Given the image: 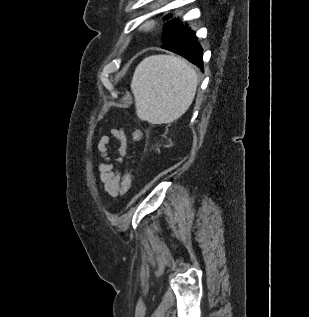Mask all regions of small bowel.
Masks as SVG:
<instances>
[{"label":"small bowel","mask_w":309,"mask_h":317,"mask_svg":"<svg viewBox=\"0 0 309 317\" xmlns=\"http://www.w3.org/2000/svg\"><path fill=\"white\" fill-rule=\"evenodd\" d=\"M110 133L116 140V157L113 159L108 146L111 143L109 136H103L98 142V150L104 159V162L96 163V169L99 173V181L106 194L111 197H117L122 193L123 175L116 168L115 164H120L128 151V141L123 129L112 128Z\"/></svg>","instance_id":"1"}]
</instances>
